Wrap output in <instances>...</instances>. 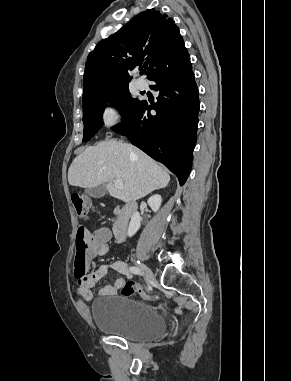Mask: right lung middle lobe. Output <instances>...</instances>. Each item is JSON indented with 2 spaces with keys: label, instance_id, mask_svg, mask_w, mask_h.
Instances as JSON below:
<instances>
[{
  "label": "right lung middle lobe",
  "instance_id": "right-lung-middle-lobe-1",
  "mask_svg": "<svg viewBox=\"0 0 291 381\" xmlns=\"http://www.w3.org/2000/svg\"><path fill=\"white\" fill-rule=\"evenodd\" d=\"M141 102L131 97L128 86H123L109 90L98 98L83 104V141L90 140L103 125L102 114L108 103L115 104L125 120L134 113Z\"/></svg>",
  "mask_w": 291,
  "mask_h": 381
}]
</instances>
